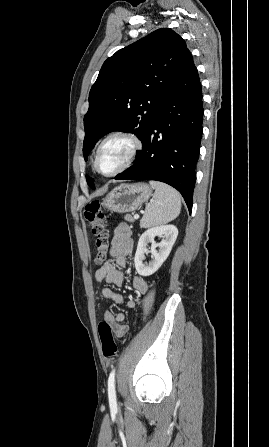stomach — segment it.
Returning <instances> with one entry per match:
<instances>
[{"label": "stomach", "instance_id": "0dacf381", "mask_svg": "<svg viewBox=\"0 0 269 447\" xmlns=\"http://www.w3.org/2000/svg\"><path fill=\"white\" fill-rule=\"evenodd\" d=\"M152 190L148 184H133V186H118L110 194H107L102 206L111 212H134L138 206L149 200Z\"/></svg>", "mask_w": 269, "mask_h": 447}]
</instances>
